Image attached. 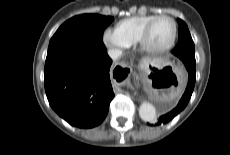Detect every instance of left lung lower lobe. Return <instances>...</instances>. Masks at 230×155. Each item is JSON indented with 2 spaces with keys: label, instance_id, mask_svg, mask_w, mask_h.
I'll return each mask as SVG.
<instances>
[{
  "label": "left lung lower lobe",
  "instance_id": "obj_1",
  "mask_svg": "<svg viewBox=\"0 0 230 155\" xmlns=\"http://www.w3.org/2000/svg\"><path fill=\"white\" fill-rule=\"evenodd\" d=\"M194 57H195V54H194ZM183 63L188 71V77H189L186 90L181 100L177 104V106L173 108L170 112L160 116L157 123H155V125H161V124L168 123L170 120H172L176 115H178L187 106L191 98V95L194 89V85H195V80H196L195 62L193 60H190L188 57H186L183 59Z\"/></svg>",
  "mask_w": 230,
  "mask_h": 155
}]
</instances>
